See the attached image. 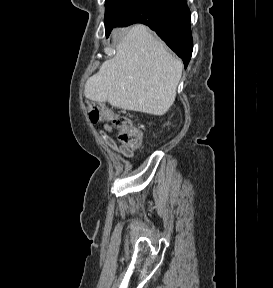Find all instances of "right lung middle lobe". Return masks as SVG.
Wrapping results in <instances>:
<instances>
[{"instance_id": "obj_1", "label": "right lung middle lobe", "mask_w": 273, "mask_h": 288, "mask_svg": "<svg viewBox=\"0 0 273 288\" xmlns=\"http://www.w3.org/2000/svg\"><path fill=\"white\" fill-rule=\"evenodd\" d=\"M137 0H106L105 29L106 35L116 22L133 6Z\"/></svg>"}]
</instances>
